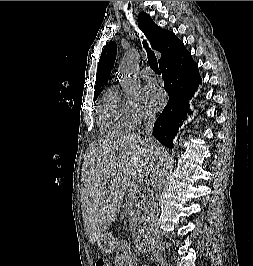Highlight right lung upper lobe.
I'll return each mask as SVG.
<instances>
[{
  "mask_svg": "<svg viewBox=\"0 0 253 266\" xmlns=\"http://www.w3.org/2000/svg\"><path fill=\"white\" fill-rule=\"evenodd\" d=\"M138 26L150 41L152 48L161 53L159 65L174 59L185 49L183 42L173 32L157 26L145 12L139 14ZM116 51V43L110 42L101 54L96 75L95 96H98L102 84L110 76Z\"/></svg>",
  "mask_w": 253,
  "mask_h": 266,
  "instance_id": "obj_1",
  "label": "right lung upper lobe"
}]
</instances>
